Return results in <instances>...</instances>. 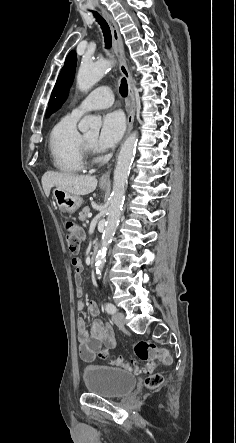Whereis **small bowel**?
<instances>
[{
  "label": "small bowel",
  "instance_id": "small-bowel-1",
  "mask_svg": "<svg viewBox=\"0 0 236 443\" xmlns=\"http://www.w3.org/2000/svg\"><path fill=\"white\" fill-rule=\"evenodd\" d=\"M74 261L81 268V274L83 271L82 262L75 258L72 260V264ZM76 284V304L77 308L80 311L85 310L86 305L83 300V289H82V276L79 279H74ZM89 313L92 316H96L99 312L98 307L95 302H90L87 306ZM77 328V339L80 344V356L84 360H92L94 357V353L100 347H104L106 349H111L115 346V339L112 333V330L109 326L103 324L100 321H94L90 330L87 327V324L83 318H78L76 321ZM89 355V358L86 357Z\"/></svg>",
  "mask_w": 236,
  "mask_h": 443
}]
</instances>
